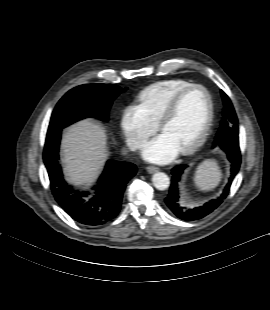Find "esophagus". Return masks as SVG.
I'll return each instance as SVG.
<instances>
[{
	"label": "esophagus",
	"instance_id": "34e87169",
	"mask_svg": "<svg viewBox=\"0 0 270 310\" xmlns=\"http://www.w3.org/2000/svg\"><path fill=\"white\" fill-rule=\"evenodd\" d=\"M146 170H147L148 173H154V172L159 171V168L156 167V166H148V167L146 168Z\"/></svg>",
	"mask_w": 270,
	"mask_h": 310
}]
</instances>
